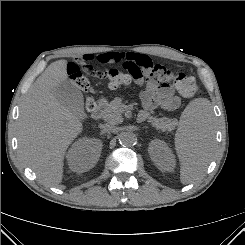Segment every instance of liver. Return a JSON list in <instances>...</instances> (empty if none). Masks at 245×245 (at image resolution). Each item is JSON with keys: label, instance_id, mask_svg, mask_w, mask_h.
Segmentation results:
<instances>
[{"label": "liver", "instance_id": "liver-1", "mask_svg": "<svg viewBox=\"0 0 245 245\" xmlns=\"http://www.w3.org/2000/svg\"><path fill=\"white\" fill-rule=\"evenodd\" d=\"M67 64L64 59L55 61L36 79L25 95L18 119L19 155L46 186L62 182L66 150L83 128L53 93L68 78Z\"/></svg>", "mask_w": 245, "mask_h": 245}]
</instances>
